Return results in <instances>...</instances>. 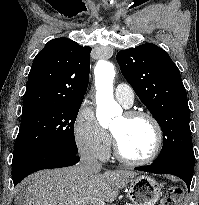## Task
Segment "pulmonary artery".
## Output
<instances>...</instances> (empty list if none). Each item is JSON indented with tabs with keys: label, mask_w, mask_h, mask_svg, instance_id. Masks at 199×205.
Returning <instances> with one entry per match:
<instances>
[{
	"label": "pulmonary artery",
	"mask_w": 199,
	"mask_h": 205,
	"mask_svg": "<svg viewBox=\"0 0 199 205\" xmlns=\"http://www.w3.org/2000/svg\"><path fill=\"white\" fill-rule=\"evenodd\" d=\"M115 97L124 107H130L134 102V91L128 84L121 83L116 86Z\"/></svg>",
	"instance_id": "pulmonary-artery-1"
}]
</instances>
